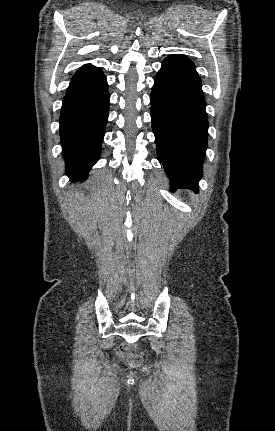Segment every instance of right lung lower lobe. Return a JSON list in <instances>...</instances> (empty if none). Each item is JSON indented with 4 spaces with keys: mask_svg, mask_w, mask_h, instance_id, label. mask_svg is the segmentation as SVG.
Instances as JSON below:
<instances>
[{
    "mask_svg": "<svg viewBox=\"0 0 275 431\" xmlns=\"http://www.w3.org/2000/svg\"><path fill=\"white\" fill-rule=\"evenodd\" d=\"M109 105L108 84L100 69L71 80L59 131L66 173L74 182L85 179L100 158Z\"/></svg>",
    "mask_w": 275,
    "mask_h": 431,
    "instance_id": "98d812e1",
    "label": "right lung lower lobe"
}]
</instances>
